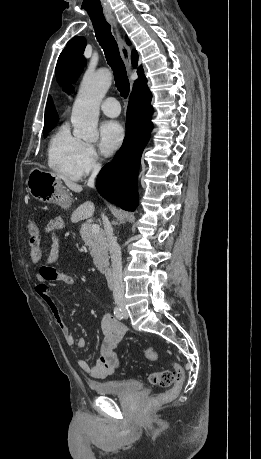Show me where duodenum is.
Segmentation results:
<instances>
[{"instance_id":"410a0bca","label":"duodenum","mask_w":261,"mask_h":459,"mask_svg":"<svg viewBox=\"0 0 261 459\" xmlns=\"http://www.w3.org/2000/svg\"><path fill=\"white\" fill-rule=\"evenodd\" d=\"M102 271L107 279V281L112 284L113 282V270L109 265H104Z\"/></svg>"}]
</instances>
